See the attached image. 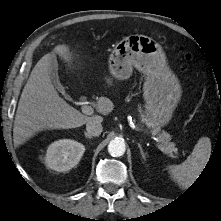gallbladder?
I'll return each instance as SVG.
<instances>
[{"instance_id": "1", "label": "gallbladder", "mask_w": 221, "mask_h": 221, "mask_svg": "<svg viewBox=\"0 0 221 221\" xmlns=\"http://www.w3.org/2000/svg\"><path fill=\"white\" fill-rule=\"evenodd\" d=\"M57 70H58L57 60L55 57H52L50 59V76L53 80V83H54L56 89L59 92H61L65 98L69 99V96L66 94L64 87L61 85V83L59 81Z\"/></svg>"}]
</instances>
